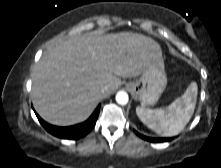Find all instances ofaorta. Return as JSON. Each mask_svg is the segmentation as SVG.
Here are the masks:
<instances>
[{
	"mask_svg": "<svg viewBox=\"0 0 221 168\" xmlns=\"http://www.w3.org/2000/svg\"><path fill=\"white\" fill-rule=\"evenodd\" d=\"M128 94L125 91H119L116 94V101L120 105H126L128 103Z\"/></svg>",
	"mask_w": 221,
	"mask_h": 168,
	"instance_id": "1",
	"label": "aorta"
}]
</instances>
